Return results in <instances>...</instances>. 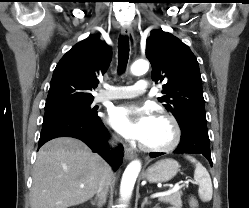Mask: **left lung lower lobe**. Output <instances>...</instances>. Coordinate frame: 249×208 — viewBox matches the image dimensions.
<instances>
[{"label":"left lung lower lobe","mask_w":249,"mask_h":208,"mask_svg":"<svg viewBox=\"0 0 249 208\" xmlns=\"http://www.w3.org/2000/svg\"><path fill=\"white\" fill-rule=\"evenodd\" d=\"M181 128V140L174 153H198L204 155L212 166L210 154L209 136L206 121L201 119H189ZM163 155V153H150L151 158Z\"/></svg>","instance_id":"obj_1"}]
</instances>
